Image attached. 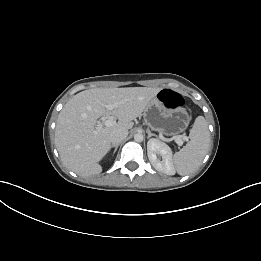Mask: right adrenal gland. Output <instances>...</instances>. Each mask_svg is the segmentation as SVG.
Wrapping results in <instances>:
<instances>
[{
    "label": "right adrenal gland",
    "mask_w": 261,
    "mask_h": 261,
    "mask_svg": "<svg viewBox=\"0 0 261 261\" xmlns=\"http://www.w3.org/2000/svg\"><path fill=\"white\" fill-rule=\"evenodd\" d=\"M119 145H120V144H116V145H111V146H110V148H113V147L115 148V149H114V152H113L114 154L116 153V151H117Z\"/></svg>",
    "instance_id": "1"
}]
</instances>
